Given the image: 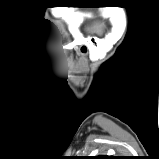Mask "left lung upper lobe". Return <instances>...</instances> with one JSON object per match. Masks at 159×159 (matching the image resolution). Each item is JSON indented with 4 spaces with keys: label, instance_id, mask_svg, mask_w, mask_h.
I'll list each match as a JSON object with an SVG mask.
<instances>
[{
    "label": "left lung upper lobe",
    "instance_id": "1",
    "mask_svg": "<svg viewBox=\"0 0 159 159\" xmlns=\"http://www.w3.org/2000/svg\"><path fill=\"white\" fill-rule=\"evenodd\" d=\"M93 159H112V158H110L108 156H97V157H95Z\"/></svg>",
    "mask_w": 159,
    "mask_h": 159
}]
</instances>
